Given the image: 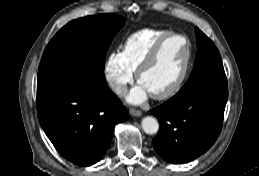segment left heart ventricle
Wrapping results in <instances>:
<instances>
[{"label":"left heart ventricle","instance_id":"obj_1","mask_svg":"<svg viewBox=\"0 0 259 176\" xmlns=\"http://www.w3.org/2000/svg\"><path fill=\"white\" fill-rule=\"evenodd\" d=\"M185 56V40L180 37L168 39L155 62L142 74L140 83L150 94L167 89L181 73Z\"/></svg>","mask_w":259,"mask_h":176}]
</instances>
